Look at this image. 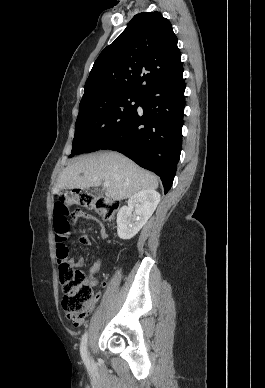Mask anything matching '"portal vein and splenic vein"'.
I'll list each match as a JSON object with an SVG mask.
<instances>
[{
	"label": "portal vein and splenic vein",
	"mask_w": 265,
	"mask_h": 388,
	"mask_svg": "<svg viewBox=\"0 0 265 388\" xmlns=\"http://www.w3.org/2000/svg\"><path fill=\"white\" fill-rule=\"evenodd\" d=\"M104 186H105V188H108L109 182H104Z\"/></svg>",
	"instance_id": "1"
}]
</instances>
